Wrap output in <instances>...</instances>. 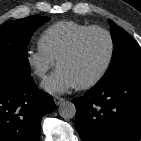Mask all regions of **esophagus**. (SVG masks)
I'll return each mask as SVG.
<instances>
[{
    "instance_id": "obj_1",
    "label": "esophagus",
    "mask_w": 141,
    "mask_h": 141,
    "mask_svg": "<svg viewBox=\"0 0 141 141\" xmlns=\"http://www.w3.org/2000/svg\"><path fill=\"white\" fill-rule=\"evenodd\" d=\"M65 101L64 98L61 97H54V102L57 106L61 105Z\"/></svg>"
}]
</instances>
